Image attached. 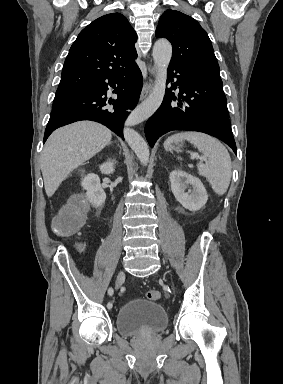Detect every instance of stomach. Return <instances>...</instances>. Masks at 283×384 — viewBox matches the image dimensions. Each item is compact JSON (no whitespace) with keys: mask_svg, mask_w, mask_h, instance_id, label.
<instances>
[{"mask_svg":"<svg viewBox=\"0 0 283 384\" xmlns=\"http://www.w3.org/2000/svg\"><path fill=\"white\" fill-rule=\"evenodd\" d=\"M177 146L180 148L181 144H179V142H174V144H172L173 150H178Z\"/></svg>","mask_w":283,"mask_h":384,"instance_id":"1","label":"stomach"}]
</instances>
